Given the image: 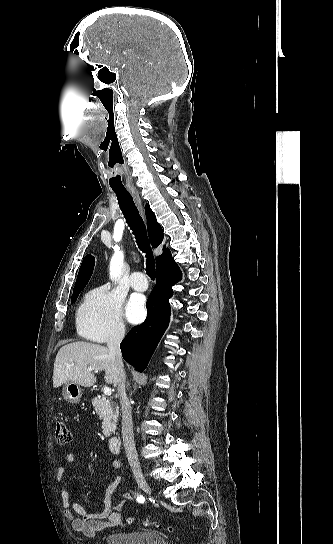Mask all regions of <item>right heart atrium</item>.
Segmentation results:
<instances>
[{"label": "right heart atrium", "mask_w": 333, "mask_h": 544, "mask_svg": "<svg viewBox=\"0 0 333 544\" xmlns=\"http://www.w3.org/2000/svg\"><path fill=\"white\" fill-rule=\"evenodd\" d=\"M77 324L80 333L91 341L121 340L126 333L122 299L106 286L95 288L80 307Z\"/></svg>", "instance_id": "d8ad5b80"}]
</instances>
